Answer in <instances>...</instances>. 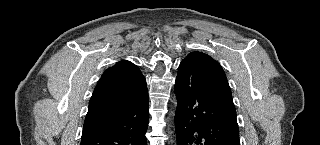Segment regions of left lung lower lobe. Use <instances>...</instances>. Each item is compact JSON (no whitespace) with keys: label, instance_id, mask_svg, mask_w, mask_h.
Instances as JSON below:
<instances>
[{"label":"left lung lower lobe","instance_id":"left-lung-lower-lobe-1","mask_svg":"<svg viewBox=\"0 0 320 145\" xmlns=\"http://www.w3.org/2000/svg\"><path fill=\"white\" fill-rule=\"evenodd\" d=\"M227 78L182 60L175 81L177 145H240L236 113L226 101Z\"/></svg>","mask_w":320,"mask_h":145}]
</instances>
